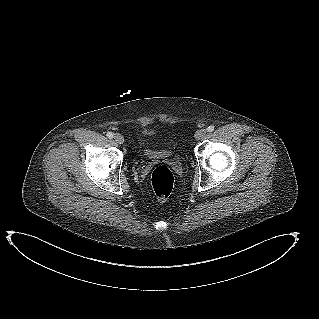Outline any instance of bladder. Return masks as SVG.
<instances>
[{"label": "bladder", "mask_w": 319, "mask_h": 319, "mask_svg": "<svg viewBox=\"0 0 319 319\" xmlns=\"http://www.w3.org/2000/svg\"><path fill=\"white\" fill-rule=\"evenodd\" d=\"M145 134H148V133H145ZM141 155L148 159L165 158L171 155V151L167 149L157 150V149L149 148L146 146H142Z\"/></svg>", "instance_id": "31cf9c89"}]
</instances>
